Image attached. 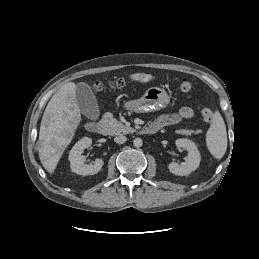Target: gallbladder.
Here are the masks:
<instances>
[{"label": "gallbladder", "mask_w": 259, "mask_h": 259, "mask_svg": "<svg viewBox=\"0 0 259 259\" xmlns=\"http://www.w3.org/2000/svg\"><path fill=\"white\" fill-rule=\"evenodd\" d=\"M76 102L84 116L88 119L96 120L100 116L97 99L86 83H79L76 86Z\"/></svg>", "instance_id": "bac80fb5"}]
</instances>
